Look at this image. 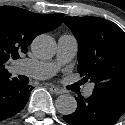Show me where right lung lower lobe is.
<instances>
[{"mask_svg":"<svg viewBox=\"0 0 125 125\" xmlns=\"http://www.w3.org/2000/svg\"><path fill=\"white\" fill-rule=\"evenodd\" d=\"M33 88L9 75L0 77V120L11 117L26 105Z\"/></svg>","mask_w":125,"mask_h":125,"instance_id":"right-lung-lower-lobe-1","label":"right lung lower lobe"}]
</instances>
